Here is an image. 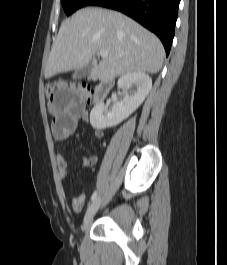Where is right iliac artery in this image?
Masks as SVG:
<instances>
[{
    "instance_id": "obj_1",
    "label": "right iliac artery",
    "mask_w": 227,
    "mask_h": 265,
    "mask_svg": "<svg viewBox=\"0 0 227 265\" xmlns=\"http://www.w3.org/2000/svg\"><path fill=\"white\" fill-rule=\"evenodd\" d=\"M97 197V191H95L91 196V201H94Z\"/></svg>"
}]
</instances>
